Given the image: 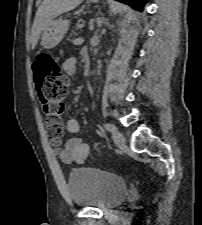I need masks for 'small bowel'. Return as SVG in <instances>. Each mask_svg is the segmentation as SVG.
Returning <instances> with one entry per match:
<instances>
[{
	"label": "small bowel",
	"instance_id": "small-bowel-1",
	"mask_svg": "<svg viewBox=\"0 0 202 225\" xmlns=\"http://www.w3.org/2000/svg\"><path fill=\"white\" fill-rule=\"evenodd\" d=\"M82 52H87L83 50ZM78 65V58L71 56L63 62L64 70L73 75ZM65 129L70 134H78L80 124L76 118H67L65 120ZM89 154L88 144L79 136L69 138L64 147L59 151L58 156L60 161L65 165L82 164Z\"/></svg>",
	"mask_w": 202,
	"mask_h": 225
}]
</instances>
